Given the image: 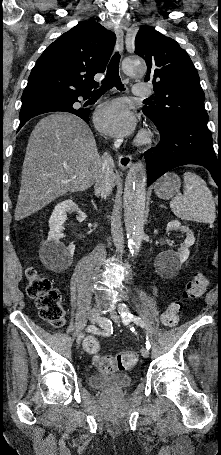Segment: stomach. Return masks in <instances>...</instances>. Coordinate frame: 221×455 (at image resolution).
<instances>
[{"mask_svg":"<svg viewBox=\"0 0 221 455\" xmlns=\"http://www.w3.org/2000/svg\"><path fill=\"white\" fill-rule=\"evenodd\" d=\"M181 181L177 174L167 173L154 185L155 194L162 199H170L179 192Z\"/></svg>","mask_w":221,"mask_h":455,"instance_id":"0dacf381","label":"stomach"}]
</instances>
